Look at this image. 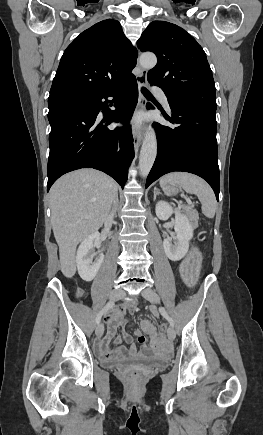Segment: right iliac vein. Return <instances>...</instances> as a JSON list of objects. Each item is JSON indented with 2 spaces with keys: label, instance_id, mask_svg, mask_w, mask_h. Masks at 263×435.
Wrapping results in <instances>:
<instances>
[{
  "label": "right iliac vein",
  "instance_id": "obj_1",
  "mask_svg": "<svg viewBox=\"0 0 263 435\" xmlns=\"http://www.w3.org/2000/svg\"><path fill=\"white\" fill-rule=\"evenodd\" d=\"M124 296H125V292L122 289L115 288V289H113L111 291L109 299H110V301H116V300H118V299H120V298H122ZM103 332H104V325L103 324H99L97 326V328H96L95 333H96L97 336H102Z\"/></svg>",
  "mask_w": 263,
  "mask_h": 435
}]
</instances>
